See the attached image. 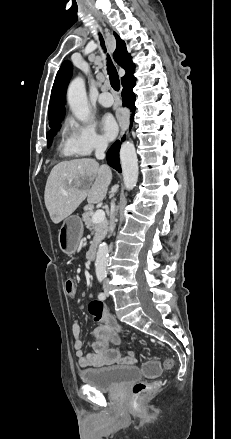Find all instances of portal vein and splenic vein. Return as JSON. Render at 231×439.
<instances>
[{
    "label": "portal vein and splenic vein",
    "mask_w": 231,
    "mask_h": 439,
    "mask_svg": "<svg viewBox=\"0 0 231 439\" xmlns=\"http://www.w3.org/2000/svg\"><path fill=\"white\" fill-rule=\"evenodd\" d=\"M105 220V212L103 210H97L92 217V222L98 224Z\"/></svg>",
    "instance_id": "18ae733b"
}]
</instances>
